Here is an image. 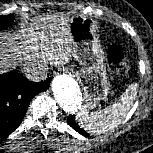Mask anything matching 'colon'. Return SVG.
Segmentation results:
<instances>
[{"instance_id":"1","label":"colon","mask_w":153,"mask_h":153,"mask_svg":"<svg viewBox=\"0 0 153 153\" xmlns=\"http://www.w3.org/2000/svg\"><path fill=\"white\" fill-rule=\"evenodd\" d=\"M107 58L112 71L117 73H124L128 70V58L125 56L119 46H110L107 52Z\"/></svg>"}]
</instances>
